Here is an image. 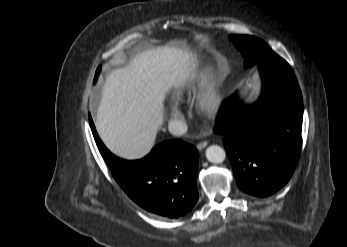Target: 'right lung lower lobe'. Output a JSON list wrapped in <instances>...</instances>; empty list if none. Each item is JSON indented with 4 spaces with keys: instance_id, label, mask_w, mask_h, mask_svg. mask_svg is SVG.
Wrapping results in <instances>:
<instances>
[{
    "instance_id": "98d812e1",
    "label": "right lung lower lobe",
    "mask_w": 347,
    "mask_h": 247,
    "mask_svg": "<svg viewBox=\"0 0 347 247\" xmlns=\"http://www.w3.org/2000/svg\"><path fill=\"white\" fill-rule=\"evenodd\" d=\"M89 122L114 179L134 202L151 213L169 218L184 216L194 207L198 199L199 158L194 146L182 140H168L156 145L143 159L127 161L104 146L90 115Z\"/></svg>"
}]
</instances>
